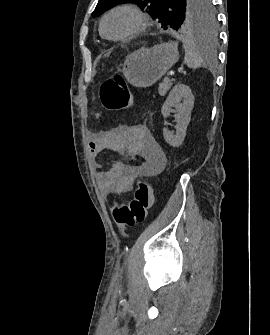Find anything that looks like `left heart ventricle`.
I'll return each mask as SVG.
<instances>
[{"instance_id":"obj_1","label":"left heart ventricle","mask_w":270,"mask_h":335,"mask_svg":"<svg viewBox=\"0 0 270 335\" xmlns=\"http://www.w3.org/2000/svg\"><path fill=\"white\" fill-rule=\"evenodd\" d=\"M139 21L137 17L127 11H119L107 19L105 32L112 38L123 36L137 28Z\"/></svg>"}]
</instances>
